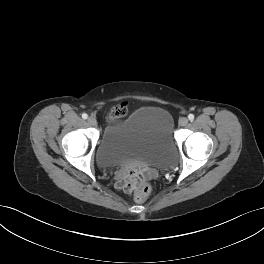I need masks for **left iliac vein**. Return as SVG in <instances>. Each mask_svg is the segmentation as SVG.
I'll list each match as a JSON object with an SVG mask.
<instances>
[{"label": "left iliac vein", "mask_w": 264, "mask_h": 264, "mask_svg": "<svg viewBox=\"0 0 264 264\" xmlns=\"http://www.w3.org/2000/svg\"><path fill=\"white\" fill-rule=\"evenodd\" d=\"M188 124V119L186 117H181L179 119V125L180 126H186Z\"/></svg>", "instance_id": "obj_1"}]
</instances>
